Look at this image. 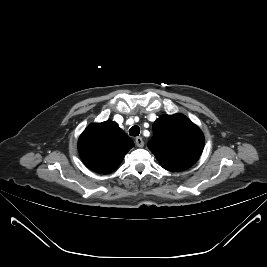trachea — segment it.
I'll return each mask as SVG.
<instances>
[{"label":"trachea","mask_w":267,"mask_h":267,"mask_svg":"<svg viewBox=\"0 0 267 267\" xmlns=\"http://www.w3.org/2000/svg\"><path fill=\"white\" fill-rule=\"evenodd\" d=\"M129 134L130 136H134V137L138 136L140 134V128L136 125L131 127L129 130Z\"/></svg>","instance_id":"obj_1"}]
</instances>
